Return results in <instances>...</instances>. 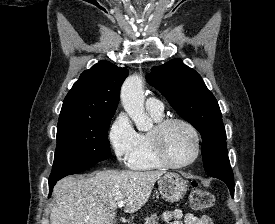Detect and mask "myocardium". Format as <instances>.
Here are the masks:
<instances>
[{"mask_svg": "<svg viewBox=\"0 0 275 224\" xmlns=\"http://www.w3.org/2000/svg\"><path fill=\"white\" fill-rule=\"evenodd\" d=\"M174 123H179L187 127L193 135L195 142V151L193 157L184 163H174L172 162L164 148L163 144V135L165 130ZM149 145L155 160L162 165L163 167L171 168V169H182L189 167L199 158L201 153V139L200 134L197 128L188 120L181 117H167L163 118L160 121L156 122L153 129L148 134Z\"/></svg>", "mask_w": 275, "mask_h": 224, "instance_id": "myocardium-1", "label": "myocardium"}]
</instances>
